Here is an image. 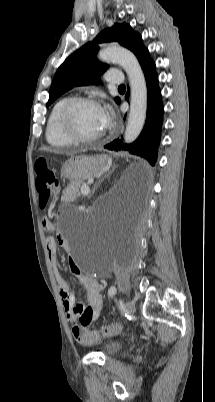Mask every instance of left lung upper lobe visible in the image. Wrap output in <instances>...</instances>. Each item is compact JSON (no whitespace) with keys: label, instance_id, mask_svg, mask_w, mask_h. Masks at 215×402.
I'll return each instance as SVG.
<instances>
[{"label":"left lung upper lobe","instance_id":"5c2ea615","mask_svg":"<svg viewBox=\"0 0 215 402\" xmlns=\"http://www.w3.org/2000/svg\"><path fill=\"white\" fill-rule=\"evenodd\" d=\"M102 42L120 43L135 54L141 66L150 59L141 36L129 24L116 23L72 53L59 67L50 88L47 106L73 87L99 83L100 75L108 69V65L100 63L96 58L98 44ZM115 101L118 102L119 98H115Z\"/></svg>","mask_w":215,"mask_h":402}]
</instances>
